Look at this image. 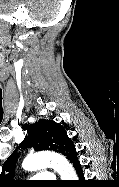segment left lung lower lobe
<instances>
[{
	"instance_id": "1",
	"label": "left lung lower lobe",
	"mask_w": 119,
	"mask_h": 187,
	"mask_svg": "<svg viewBox=\"0 0 119 187\" xmlns=\"http://www.w3.org/2000/svg\"><path fill=\"white\" fill-rule=\"evenodd\" d=\"M67 159L70 161V163L73 165V167L75 168L79 178H80V182L83 181L84 179V174L80 165V162L78 160L77 157V152H76V148L73 145L70 149V152L67 155Z\"/></svg>"
}]
</instances>
